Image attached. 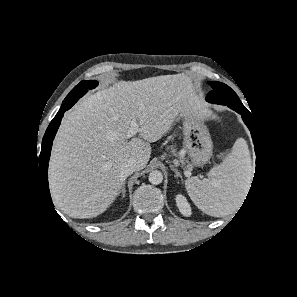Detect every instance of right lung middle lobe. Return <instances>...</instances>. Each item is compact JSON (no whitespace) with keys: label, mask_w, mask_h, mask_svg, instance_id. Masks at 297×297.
<instances>
[{"label":"right lung middle lobe","mask_w":297,"mask_h":297,"mask_svg":"<svg viewBox=\"0 0 297 297\" xmlns=\"http://www.w3.org/2000/svg\"><path fill=\"white\" fill-rule=\"evenodd\" d=\"M97 84L98 82L95 80L81 81L64 99L60 110H68L71 108L79 98H81L89 89L95 88Z\"/></svg>","instance_id":"1"}]
</instances>
